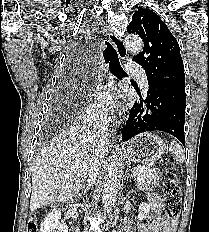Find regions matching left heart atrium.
Returning a JSON list of instances; mask_svg holds the SVG:
<instances>
[{
  "label": "left heart atrium",
  "mask_w": 209,
  "mask_h": 232,
  "mask_svg": "<svg viewBox=\"0 0 209 232\" xmlns=\"http://www.w3.org/2000/svg\"><path fill=\"white\" fill-rule=\"evenodd\" d=\"M99 108L103 112H109L115 107V96L111 88H101L96 93Z\"/></svg>",
  "instance_id": "39dd6f15"
}]
</instances>
